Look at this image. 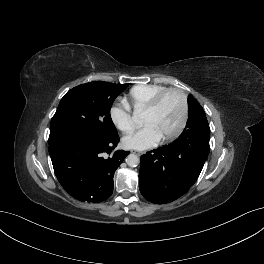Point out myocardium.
<instances>
[{
    "label": "myocardium",
    "instance_id": "f54148a6",
    "mask_svg": "<svg viewBox=\"0 0 264 264\" xmlns=\"http://www.w3.org/2000/svg\"><path fill=\"white\" fill-rule=\"evenodd\" d=\"M170 93H176L180 97L181 106H182V115H181L180 123L177 126V128L170 134L162 137L161 140L163 142H168L178 137L182 133V131L184 130L187 124L189 106H188V99H187L186 94L178 88H167L161 91L160 93H158L143 110L144 113H150V112L155 111L159 107L163 99Z\"/></svg>",
    "mask_w": 264,
    "mask_h": 264
}]
</instances>
